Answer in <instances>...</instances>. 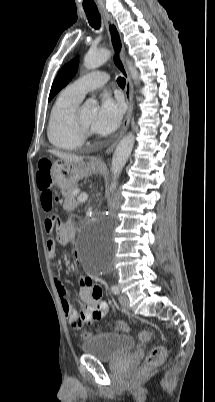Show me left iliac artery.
Listing matches in <instances>:
<instances>
[{
    "instance_id": "obj_1",
    "label": "left iliac artery",
    "mask_w": 215,
    "mask_h": 402,
    "mask_svg": "<svg viewBox=\"0 0 215 402\" xmlns=\"http://www.w3.org/2000/svg\"><path fill=\"white\" fill-rule=\"evenodd\" d=\"M111 291H112L114 294H119V288H118V286H117V285H113V286L111 287Z\"/></svg>"
}]
</instances>
